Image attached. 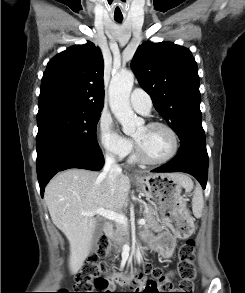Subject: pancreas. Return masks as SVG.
I'll return each mask as SVG.
<instances>
[{
	"label": "pancreas",
	"instance_id": "obj_1",
	"mask_svg": "<svg viewBox=\"0 0 245 293\" xmlns=\"http://www.w3.org/2000/svg\"><path fill=\"white\" fill-rule=\"evenodd\" d=\"M155 210L152 207L145 208L143 212V218L146 223L144 229L161 230L162 226L158 223L155 216ZM109 241L113 243V246L120 251L122 247L129 240V228L122 224H116L115 229L108 236Z\"/></svg>",
	"mask_w": 245,
	"mask_h": 293
}]
</instances>
